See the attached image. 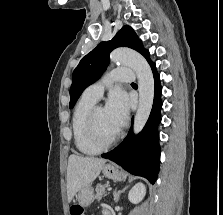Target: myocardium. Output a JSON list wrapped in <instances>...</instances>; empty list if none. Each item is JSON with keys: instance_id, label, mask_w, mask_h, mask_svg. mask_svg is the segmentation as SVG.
Returning a JSON list of instances; mask_svg holds the SVG:
<instances>
[{"instance_id": "f54148a6", "label": "myocardium", "mask_w": 223, "mask_h": 215, "mask_svg": "<svg viewBox=\"0 0 223 215\" xmlns=\"http://www.w3.org/2000/svg\"><path fill=\"white\" fill-rule=\"evenodd\" d=\"M101 108H103L101 105L94 106V108L92 109L90 113L88 124H87L88 140L98 152L113 148L119 142L121 138V130L119 129L115 137L110 142L103 143L100 140L98 136V131H97V114Z\"/></svg>"}]
</instances>
